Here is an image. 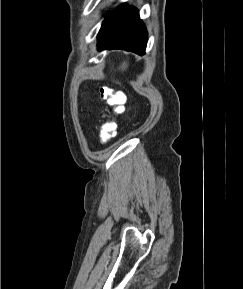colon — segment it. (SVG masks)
I'll list each match as a JSON object with an SVG mask.
<instances>
[{"label":"colon","instance_id":"1","mask_svg":"<svg viewBox=\"0 0 243 289\" xmlns=\"http://www.w3.org/2000/svg\"><path fill=\"white\" fill-rule=\"evenodd\" d=\"M101 98L111 107L114 114H119L123 110L125 95L120 91H115L107 86L99 88ZM116 130V122L113 118L105 121L100 130V141L105 144L111 140Z\"/></svg>","mask_w":243,"mask_h":289}]
</instances>
